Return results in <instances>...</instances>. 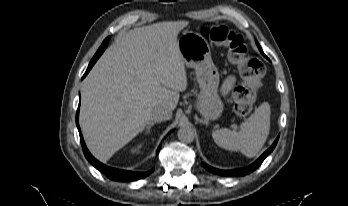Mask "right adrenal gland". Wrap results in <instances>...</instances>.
I'll list each match as a JSON object with an SVG mask.
<instances>
[{"label": "right adrenal gland", "mask_w": 348, "mask_h": 206, "mask_svg": "<svg viewBox=\"0 0 348 206\" xmlns=\"http://www.w3.org/2000/svg\"><path fill=\"white\" fill-rule=\"evenodd\" d=\"M156 123H159L158 121H150L147 126H146V130H145V133H149L150 132V129L151 127L156 124Z\"/></svg>", "instance_id": "1"}]
</instances>
